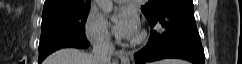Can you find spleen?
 <instances>
[{
	"label": "spleen",
	"instance_id": "3e777b00",
	"mask_svg": "<svg viewBox=\"0 0 242 64\" xmlns=\"http://www.w3.org/2000/svg\"><path fill=\"white\" fill-rule=\"evenodd\" d=\"M156 64H187V63L179 59H166V60L159 61Z\"/></svg>",
	"mask_w": 242,
	"mask_h": 64
}]
</instances>
